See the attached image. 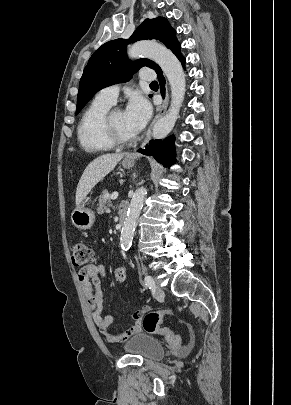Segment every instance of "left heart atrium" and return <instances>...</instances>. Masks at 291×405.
Masks as SVG:
<instances>
[{
	"label": "left heart atrium",
	"mask_w": 291,
	"mask_h": 405,
	"mask_svg": "<svg viewBox=\"0 0 291 405\" xmlns=\"http://www.w3.org/2000/svg\"><path fill=\"white\" fill-rule=\"evenodd\" d=\"M124 113L128 127L134 134H137L150 119L151 107L143 97L136 96L130 100Z\"/></svg>",
	"instance_id": "obj_1"
}]
</instances>
